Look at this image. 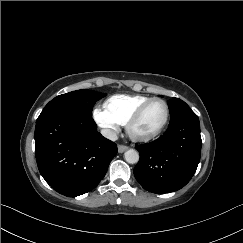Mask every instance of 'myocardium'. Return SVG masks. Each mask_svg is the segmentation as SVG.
Segmentation results:
<instances>
[{
	"mask_svg": "<svg viewBox=\"0 0 243 243\" xmlns=\"http://www.w3.org/2000/svg\"><path fill=\"white\" fill-rule=\"evenodd\" d=\"M162 102L165 105L166 108V115H165V119L162 123V125L153 133L148 134V135H138L136 133H134L133 131V127L136 123L139 122V120L141 119L143 113L145 112V110L153 103L155 102ZM170 119V107L168 102L163 99V98H159V97H155V98H151L150 100H148L147 102H145L144 104H142L128 119L127 123H126V131L129 135V137L136 142H147L150 140H153L154 138L158 137L160 134H162V132L165 130L168 122Z\"/></svg>",
	"mask_w": 243,
	"mask_h": 243,
	"instance_id": "myocardium-1",
	"label": "myocardium"
}]
</instances>
